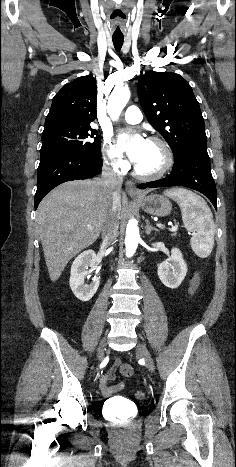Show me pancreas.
I'll return each instance as SVG.
<instances>
[{
	"label": "pancreas",
	"instance_id": "obj_1",
	"mask_svg": "<svg viewBox=\"0 0 236 467\" xmlns=\"http://www.w3.org/2000/svg\"><path fill=\"white\" fill-rule=\"evenodd\" d=\"M175 235H176V233H173V234H172V236H175Z\"/></svg>",
	"mask_w": 236,
	"mask_h": 467
}]
</instances>
